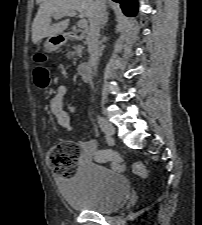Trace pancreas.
Instances as JSON below:
<instances>
[{"instance_id":"obj_1","label":"pancreas","mask_w":202,"mask_h":225,"mask_svg":"<svg viewBox=\"0 0 202 225\" xmlns=\"http://www.w3.org/2000/svg\"><path fill=\"white\" fill-rule=\"evenodd\" d=\"M83 47L81 45H77L74 47V51H69L68 56L72 57L74 61L77 60L75 56H81Z\"/></svg>"}]
</instances>
